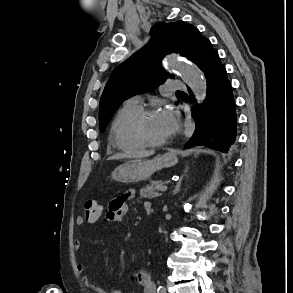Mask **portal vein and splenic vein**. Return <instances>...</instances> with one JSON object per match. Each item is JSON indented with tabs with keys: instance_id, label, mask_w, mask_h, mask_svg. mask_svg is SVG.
<instances>
[{
	"instance_id": "portal-vein-and-splenic-vein-1",
	"label": "portal vein and splenic vein",
	"mask_w": 293,
	"mask_h": 293,
	"mask_svg": "<svg viewBox=\"0 0 293 293\" xmlns=\"http://www.w3.org/2000/svg\"><path fill=\"white\" fill-rule=\"evenodd\" d=\"M167 189H168V187L166 185H164L160 188V191L165 192Z\"/></svg>"
}]
</instances>
